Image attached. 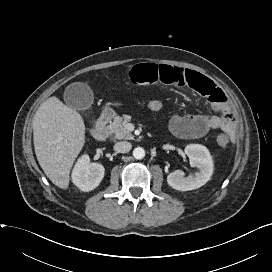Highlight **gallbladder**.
<instances>
[{"label": "gallbladder", "instance_id": "obj_1", "mask_svg": "<svg viewBox=\"0 0 272 272\" xmlns=\"http://www.w3.org/2000/svg\"><path fill=\"white\" fill-rule=\"evenodd\" d=\"M64 101L73 109L86 110L93 104L94 96L87 84L75 82L66 87Z\"/></svg>", "mask_w": 272, "mask_h": 272}]
</instances>
